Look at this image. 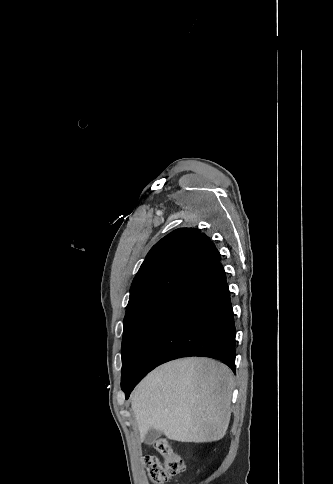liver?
<instances>
[{"label":"liver","instance_id":"liver-1","mask_svg":"<svg viewBox=\"0 0 333 484\" xmlns=\"http://www.w3.org/2000/svg\"><path fill=\"white\" fill-rule=\"evenodd\" d=\"M232 389L231 370L208 358H185L156 368L131 397L141 440L150 429L180 442L222 439L230 421Z\"/></svg>","mask_w":333,"mask_h":484}]
</instances>
